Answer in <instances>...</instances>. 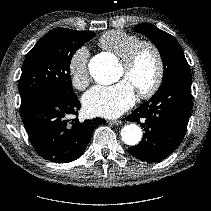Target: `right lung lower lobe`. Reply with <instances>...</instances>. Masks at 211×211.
<instances>
[{
	"mask_svg": "<svg viewBox=\"0 0 211 211\" xmlns=\"http://www.w3.org/2000/svg\"><path fill=\"white\" fill-rule=\"evenodd\" d=\"M81 105L76 96L63 98L54 94H39L21 102L20 114L36 152L55 163L71 162L84 152L93 130L104 124L102 118L79 122L69 121Z\"/></svg>",
	"mask_w": 211,
	"mask_h": 211,
	"instance_id": "obj_1",
	"label": "right lung lower lobe"
}]
</instances>
